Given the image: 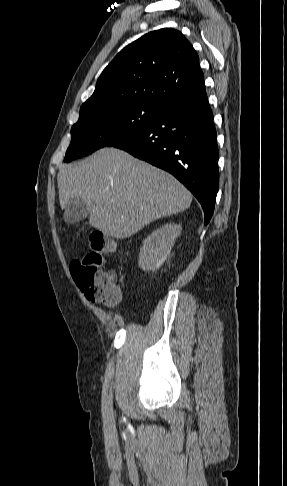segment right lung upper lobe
Returning a JSON list of instances; mask_svg holds the SVG:
<instances>
[{"mask_svg": "<svg viewBox=\"0 0 287 486\" xmlns=\"http://www.w3.org/2000/svg\"><path fill=\"white\" fill-rule=\"evenodd\" d=\"M204 89V74L193 46L181 32L163 28L121 50L80 110L120 101H150L168 107Z\"/></svg>", "mask_w": 287, "mask_h": 486, "instance_id": "1", "label": "right lung upper lobe"}]
</instances>
